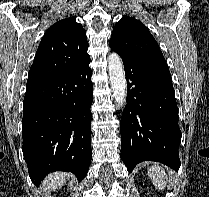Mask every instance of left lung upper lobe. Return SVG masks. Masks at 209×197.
Instances as JSON below:
<instances>
[{
	"label": "left lung upper lobe",
	"mask_w": 209,
	"mask_h": 197,
	"mask_svg": "<svg viewBox=\"0 0 209 197\" xmlns=\"http://www.w3.org/2000/svg\"><path fill=\"white\" fill-rule=\"evenodd\" d=\"M109 45L120 56L168 69L156 40L135 18L124 16L116 23Z\"/></svg>",
	"instance_id": "left-lung-upper-lobe-1"
}]
</instances>
